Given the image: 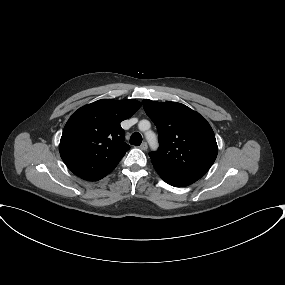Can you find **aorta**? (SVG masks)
<instances>
[{
  "instance_id": "obj_1",
  "label": "aorta",
  "mask_w": 285,
  "mask_h": 285,
  "mask_svg": "<svg viewBox=\"0 0 285 285\" xmlns=\"http://www.w3.org/2000/svg\"><path fill=\"white\" fill-rule=\"evenodd\" d=\"M150 122L148 120H141L139 122V129L145 131V137L152 149H156L158 146L156 135L149 130Z\"/></svg>"
}]
</instances>
